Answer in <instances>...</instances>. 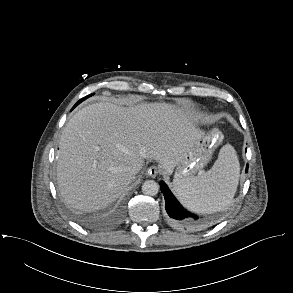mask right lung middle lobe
Masks as SVG:
<instances>
[{"label":"right lung middle lobe","mask_w":293,"mask_h":293,"mask_svg":"<svg viewBox=\"0 0 293 293\" xmlns=\"http://www.w3.org/2000/svg\"><path fill=\"white\" fill-rule=\"evenodd\" d=\"M93 94H90L84 98H82L81 100H79L75 105L77 106L79 103H81L82 101H84L85 99H87L88 97L92 96Z\"/></svg>","instance_id":"obj_1"}]
</instances>
